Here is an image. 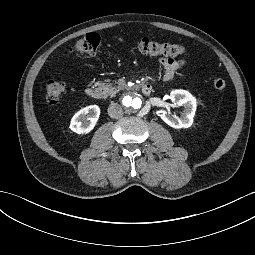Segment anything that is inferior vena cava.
Here are the masks:
<instances>
[{"label": "inferior vena cava", "mask_w": 255, "mask_h": 255, "mask_svg": "<svg viewBox=\"0 0 255 255\" xmlns=\"http://www.w3.org/2000/svg\"><path fill=\"white\" fill-rule=\"evenodd\" d=\"M108 114L111 118H119L123 114V110L119 104L113 102L108 107Z\"/></svg>", "instance_id": "inferior-vena-cava-1"}]
</instances>
